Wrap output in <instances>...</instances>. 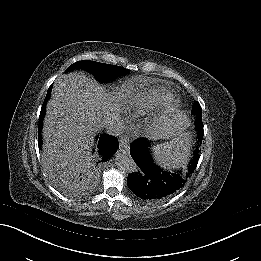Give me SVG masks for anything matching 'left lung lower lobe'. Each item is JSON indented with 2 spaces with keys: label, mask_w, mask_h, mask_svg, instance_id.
Instances as JSON below:
<instances>
[{
  "label": "left lung lower lobe",
  "mask_w": 261,
  "mask_h": 261,
  "mask_svg": "<svg viewBox=\"0 0 261 261\" xmlns=\"http://www.w3.org/2000/svg\"><path fill=\"white\" fill-rule=\"evenodd\" d=\"M202 137L203 134H199V142ZM150 147V142L145 138L137 139L130 145V154L139 168L129 175L127 185L143 200L161 201L184 186L186 178L196 169L199 149L195 150L192 162L183 173H173L163 171L153 163L149 154Z\"/></svg>",
  "instance_id": "obj_1"
}]
</instances>
